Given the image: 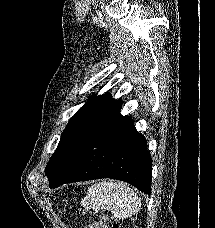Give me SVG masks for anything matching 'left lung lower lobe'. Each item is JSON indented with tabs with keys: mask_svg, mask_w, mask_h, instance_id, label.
Instances as JSON below:
<instances>
[{
	"mask_svg": "<svg viewBox=\"0 0 215 228\" xmlns=\"http://www.w3.org/2000/svg\"><path fill=\"white\" fill-rule=\"evenodd\" d=\"M120 109L103 122L78 148L49 186L100 178L130 183L150 195L152 158L134 122Z\"/></svg>",
	"mask_w": 215,
	"mask_h": 228,
	"instance_id": "1",
	"label": "left lung lower lobe"
}]
</instances>
